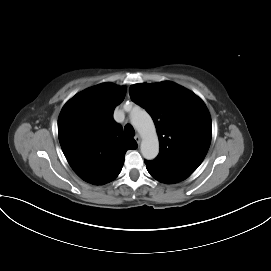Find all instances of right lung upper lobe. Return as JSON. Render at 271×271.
Returning a JSON list of instances; mask_svg holds the SVG:
<instances>
[{
  "label": "right lung upper lobe",
  "instance_id": "cb5924a9",
  "mask_svg": "<svg viewBox=\"0 0 271 271\" xmlns=\"http://www.w3.org/2000/svg\"><path fill=\"white\" fill-rule=\"evenodd\" d=\"M126 88L111 83L88 88L63 107L58 136L63 153L84 181L102 185L114 180L123 167L125 153L137 143L113 120V111Z\"/></svg>",
  "mask_w": 271,
  "mask_h": 271
}]
</instances>
